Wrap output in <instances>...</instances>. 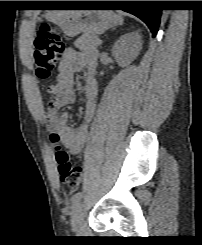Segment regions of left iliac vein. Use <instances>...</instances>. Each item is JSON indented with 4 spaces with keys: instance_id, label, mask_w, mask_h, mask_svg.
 Instances as JSON below:
<instances>
[{
    "instance_id": "4c4485c4",
    "label": "left iliac vein",
    "mask_w": 202,
    "mask_h": 245,
    "mask_svg": "<svg viewBox=\"0 0 202 245\" xmlns=\"http://www.w3.org/2000/svg\"><path fill=\"white\" fill-rule=\"evenodd\" d=\"M86 208L82 202H79L73 208L72 216H71V225L73 231H77L81 225L83 217L85 215Z\"/></svg>"
}]
</instances>
